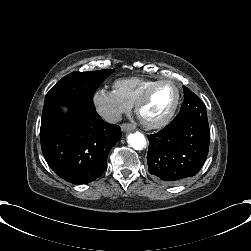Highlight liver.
I'll use <instances>...</instances> for the list:
<instances>
[{
  "mask_svg": "<svg viewBox=\"0 0 251 251\" xmlns=\"http://www.w3.org/2000/svg\"><path fill=\"white\" fill-rule=\"evenodd\" d=\"M63 111L66 112V111H67V108L63 107Z\"/></svg>",
  "mask_w": 251,
  "mask_h": 251,
  "instance_id": "1",
  "label": "liver"
}]
</instances>
